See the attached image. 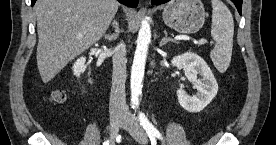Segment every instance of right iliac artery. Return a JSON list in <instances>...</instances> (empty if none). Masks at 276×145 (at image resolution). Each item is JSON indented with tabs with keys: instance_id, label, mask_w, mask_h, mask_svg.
Returning <instances> with one entry per match:
<instances>
[{
	"instance_id": "82829eb1",
	"label": "right iliac artery",
	"mask_w": 276,
	"mask_h": 145,
	"mask_svg": "<svg viewBox=\"0 0 276 145\" xmlns=\"http://www.w3.org/2000/svg\"><path fill=\"white\" fill-rule=\"evenodd\" d=\"M103 145H109V140L105 141Z\"/></svg>"
}]
</instances>
